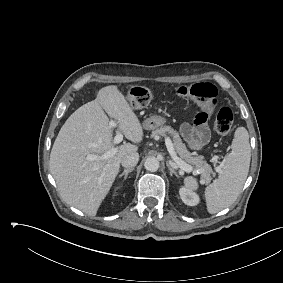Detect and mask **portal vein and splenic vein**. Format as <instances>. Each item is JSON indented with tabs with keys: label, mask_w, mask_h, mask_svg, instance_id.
I'll return each instance as SVG.
<instances>
[{
	"label": "portal vein and splenic vein",
	"mask_w": 283,
	"mask_h": 283,
	"mask_svg": "<svg viewBox=\"0 0 283 283\" xmlns=\"http://www.w3.org/2000/svg\"><path fill=\"white\" fill-rule=\"evenodd\" d=\"M109 126L112 128V127H116L117 124L115 121H110L109 122ZM123 140V134L120 132V131H117L116 132V135L114 137V144H118L120 143L121 141ZM166 146H167V149L170 153V156L172 158V160L175 162V164L183 171L185 172H191L193 170L192 166L187 164L186 162L182 161L181 159H179L177 156H176V153H175V150H174V147H173V144L171 142L170 139H166ZM115 153V150H112V151H109L107 152L105 155H104V158L106 157H109L111 155H113ZM89 160H95L97 158V156L95 155H88L87 157ZM216 171H218V169H216Z\"/></svg>",
	"instance_id": "portal-vein-and-splenic-vein-1"
}]
</instances>
